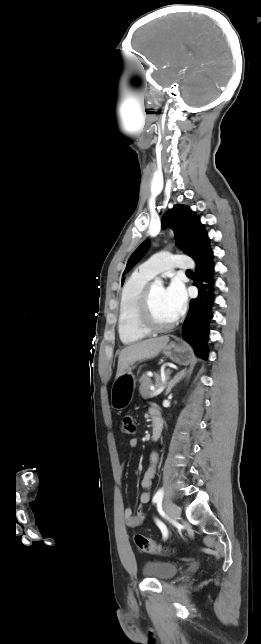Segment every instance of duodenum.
Masks as SVG:
<instances>
[{"instance_id":"duodenum-1","label":"duodenum","mask_w":261,"mask_h":644,"mask_svg":"<svg viewBox=\"0 0 261 644\" xmlns=\"http://www.w3.org/2000/svg\"><path fill=\"white\" fill-rule=\"evenodd\" d=\"M162 431H163L162 417H161L160 414L155 413L152 416V435H151V439L153 441H157L161 437Z\"/></svg>"}]
</instances>
